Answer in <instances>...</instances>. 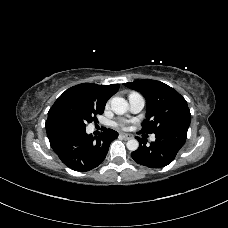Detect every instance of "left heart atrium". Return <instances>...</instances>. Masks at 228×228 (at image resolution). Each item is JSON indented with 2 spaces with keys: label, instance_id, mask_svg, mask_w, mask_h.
Listing matches in <instances>:
<instances>
[{
  "label": "left heart atrium",
  "instance_id": "obj_1",
  "mask_svg": "<svg viewBox=\"0 0 228 228\" xmlns=\"http://www.w3.org/2000/svg\"><path fill=\"white\" fill-rule=\"evenodd\" d=\"M118 126H124V124L123 123H121V124H117Z\"/></svg>",
  "mask_w": 228,
  "mask_h": 228
}]
</instances>
